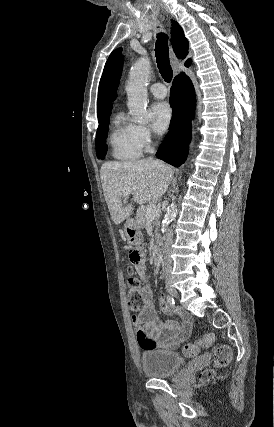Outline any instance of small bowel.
I'll return each instance as SVG.
<instances>
[{
    "label": "small bowel",
    "instance_id": "c3829d8e",
    "mask_svg": "<svg viewBox=\"0 0 274 427\" xmlns=\"http://www.w3.org/2000/svg\"><path fill=\"white\" fill-rule=\"evenodd\" d=\"M136 271L142 280L146 279L147 267L142 261L136 264ZM143 306L138 315L132 316V324L136 330V339L144 352L158 349L175 350L184 342L191 332L189 316L182 315L179 323L171 319H161L156 313L152 303V291L149 286L142 288ZM160 309L163 314L169 312V306L164 299L160 300Z\"/></svg>",
    "mask_w": 274,
    "mask_h": 427
}]
</instances>
